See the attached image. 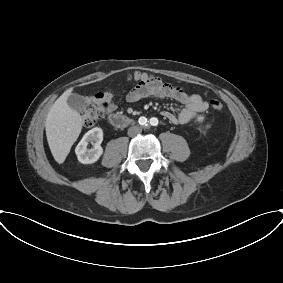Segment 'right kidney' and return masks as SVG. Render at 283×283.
Wrapping results in <instances>:
<instances>
[{"label":"right kidney","instance_id":"obj_1","mask_svg":"<svg viewBox=\"0 0 283 283\" xmlns=\"http://www.w3.org/2000/svg\"><path fill=\"white\" fill-rule=\"evenodd\" d=\"M102 141L103 130L101 128L95 127L89 130L75 148L78 161L83 164L95 163L103 154ZM89 143L93 145V148L87 149Z\"/></svg>","mask_w":283,"mask_h":283}]
</instances>
